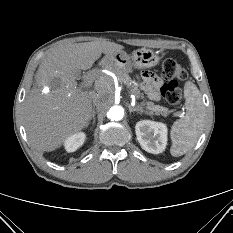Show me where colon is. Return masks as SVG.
Segmentation results:
<instances>
[{"instance_id": "colon-1", "label": "colon", "mask_w": 233, "mask_h": 233, "mask_svg": "<svg viewBox=\"0 0 233 233\" xmlns=\"http://www.w3.org/2000/svg\"><path fill=\"white\" fill-rule=\"evenodd\" d=\"M162 75L167 82L161 87L162 97L171 105H177L181 100V89L178 80L187 77L186 70L175 60L167 59L162 65Z\"/></svg>"}]
</instances>
